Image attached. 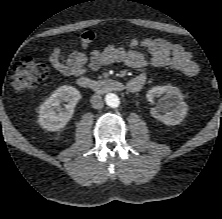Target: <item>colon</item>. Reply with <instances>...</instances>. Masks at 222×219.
<instances>
[{
  "label": "colon",
  "mask_w": 222,
  "mask_h": 219,
  "mask_svg": "<svg viewBox=\"0 0 222 219\" xmlns=\"http://www.w3.org/2000/svg\"><path fill=\"white\" fill-rule=\"evenodd\" d=\"M49 76V67L32 56L22 57L12 70V88L16 92L32 89L45 81ZM216 86V80H211Z\"/></svg>",
  "instance_id": "1"
}]
</instances>
